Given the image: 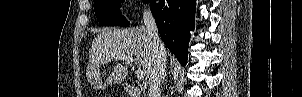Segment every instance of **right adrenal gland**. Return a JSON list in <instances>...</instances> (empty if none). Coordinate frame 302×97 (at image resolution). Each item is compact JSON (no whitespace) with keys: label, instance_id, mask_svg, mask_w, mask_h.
<instances>
[{"label":"right adrenal gland","instance_id":"2a0ac1e0","mask_svg":"<svg viewBox=\"0 0 302 97\" xmlns=\"http://www.w3.org/2000/svg\"><path fill=\"white\" fill-rule=\"evenodd\" d=\"M164 80H165V75H164V79H163V82H164Z\"/></svg>","mask_w":302,"mask_h":97}]
</instances>
